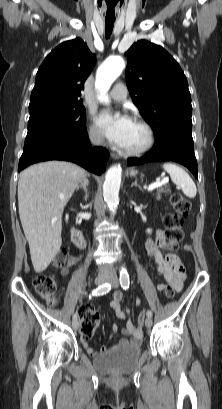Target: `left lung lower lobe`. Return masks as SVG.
Here are the masks:
<instances>
[{
  "label": "left lung lower lobe",
  "mask_w": 222,
  "mask_h": 409,
  "mask_svg": "<svg viewBox=\"0 0 222 409\" xmlns=\"http://www.w3.org/2000/svg\"><path fill=\"white\" fill-rule=\"evenodd\" d=\"M175 161L186 166L198 178L197 161L191 132L169 130L156 137L150 153L142 158L128 159V165L146 162Z\"/></svg>",
  "instance_id": "1"
}]
</instances>
